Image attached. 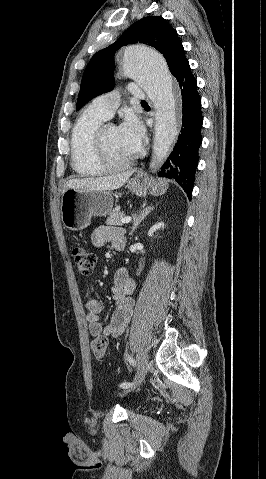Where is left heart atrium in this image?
I'll list each match as a JSON object with an SVG mask.
<instances>
[{
    "mask_svg": "<svg viewBox=\"0 0 266 479\" xmlns=\"http://www.w3.org/2000/svg\"><path fill=\"white\" fill-rule=\"evenodd\" d=\"M120 138L130 155L137 153L141 147L144 130L137 118L128 116L118 128Z\"/></svg>",
    "mask_w": 266,
    "mask_h": 479,
    "instance_id": "left-heart-atrium-1",
    "label": "left heart atrium"
}]
</instances>
